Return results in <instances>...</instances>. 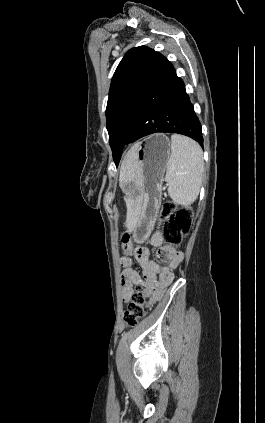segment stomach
I'll use <instances>...</instances> for the list:
<instances>
[{
    "instance_id": "stomach-1",
    "label": "stomach",
    "mask_w": 265,
    "mask_h": 423,
    "mask_svg": "<svg viewBox=\"0 0 265 423\" xmlns=\"http://www.w3.org/2000/svg\"><path fill=\"white\" fill-rule=\"evenodd\" d=\"M136 163L141 172L135 183L141 209L134 227L133 237L144 242L151 233L161 205L162 181L171 154V143L164 134H153L136 144Z\"/></svg>"
}]
</instances>
